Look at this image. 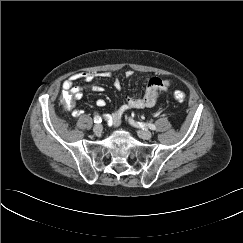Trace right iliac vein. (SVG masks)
I'll return each instance as SVG.
<instances>
[{"label":"right iliac vein","instance_id":"1","mask_svg":"<svg viewBox=\"0 0 243 243\" xmlns=\"http://www.w3.org/2000/svg\"><path fill=\"white\" fill-rule=\"evenodd\" d=\"M93 131H94V133H95L97 136H99V135H101V133H102V131H103V126L100 125V124H97V125L94 126Z\"/></svg>","mask_w":243,"mask_h":243}]
</instances>
